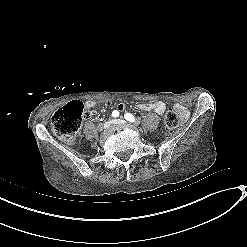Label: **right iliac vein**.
I'll list each match as a JSON object with an SVG mask.
<instances>
[{"instance_id":"63e3f726","label":"right iliac vein","mask_w":247,"mask_h":247,"mask_svg":"<svg viewBox=\"0 0 247 247\" xmlns=\"http://www.w3.org/2000/svg\"><path fill=\"white\" fill-rule=\"evenodd\" d=\"M113 123V121H107L104 123V129H107L111 124Z\"/></svg>"}]
</instances>
